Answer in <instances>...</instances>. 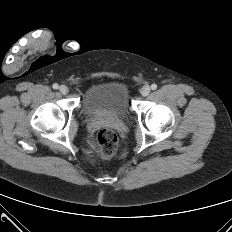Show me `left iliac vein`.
Segmentation results:
<instances>
[{"instance_id":"1","label":"left iliac vein","mask_w":232,"mask_h":232,"mask_svg":"<svg viewBox=\"0 0 232 232\" xmlns=\"http://www.w3.org/2000/svg\"><path fill=\"white\" fill-rule=\"evenodd\" d=\"M151 91V88L149 85H145L141 88L140 93L142 96H147Z\"/></svg>"}]
</instances>
